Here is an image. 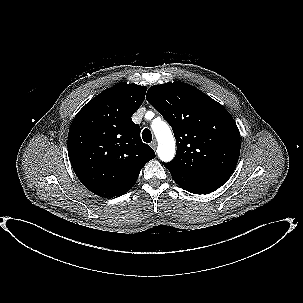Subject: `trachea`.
I'll return each mask as SVG.
<instances>
[{
  "label": "trachea",
  "instance_id": "obj_1",
  "mask_svg": "<svg viewBox=\"0 0 303 303\" xmlns=\"http://www.w3.org/2000/svg\"><path fill=\"white\" fill-rule=\"evenodd\" d=\"M143 141L146 143H150L152 141V133L149 129H144L142 133Z\"/></svg>",
  "mask_w": 303,
  "mask_h": 303
}]
</instances>
